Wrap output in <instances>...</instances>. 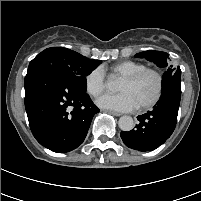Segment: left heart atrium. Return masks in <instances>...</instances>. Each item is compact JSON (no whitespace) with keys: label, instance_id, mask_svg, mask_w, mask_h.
Instances as JSON below:
<instances>
[{"label":"left heart atrium","instance_id":"left-heart-atrium-1","mask_svg":"<svg viewBox=\"0 0 201 201\" xmlns=\"http://www.w3.org/2000/svg\"><path fill=\"white\" fill-rule=\"evenodd\" d=\"M96 103L100 108L117 112H129L137 108L136 102L127 92L105 94Z\"/></svg>","mask_w":201,"mask_h":201}]
</instances>
